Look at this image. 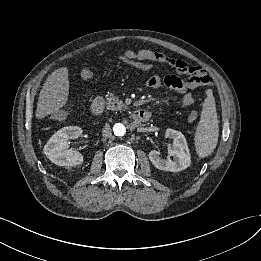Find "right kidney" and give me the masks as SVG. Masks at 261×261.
<instances>
[{"mask_svg": "<svg viewBox=\"0 0 261 261\" xmlns=\"http://www.w3.org/2000/svg\"><path fill=\"white\" fill-rule=\"evenodd\" d=\"M78 126H68L57 131L44 146V154L58 166H77L83 163L81 153L67 149L68 140L78 138L82 134Z\"/></svg>", "mask_w": 261, "mask_h": 261, "instance_id": "obj_1", "label": "right kidney"}]
</instances>
